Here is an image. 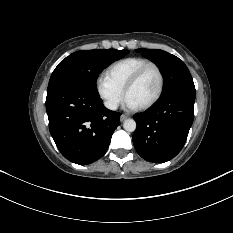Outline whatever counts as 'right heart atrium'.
I'll return each mask as SVG.
<instances>
[{
    "label": "right heart atrium",
    "instance_id": "1",
    "mask_svg": "<svg viewBox=\"0 0 233 233\" xmlns=\"http://www.w3.org/2000/svg\"><path fill=\"white\" fill-rule=\"evenodd\" d=\"M96 91L104 106L109 110H116L122 102L123 90L113 84L106 76L96 79Z\"/></svg>",
    "mask_w": 233,
    "mask_h": 233
}]
</instances>
